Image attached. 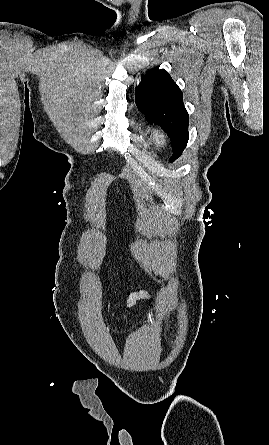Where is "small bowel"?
<instances>
[{
    "label": "small bowel",
    "mask_w": 269,
    "mask_h": 445,
    "mask_svg": "<svg viewBox=\"0 0 269 445\" xmlns=\"http://www.w3.org/2000/svg\"><path fill=\"white\" fill-rule=\"evenodd\" d=\"M152 295L146 290L134 291L127 296L123 297L124 305L127 308H133L137 302L141 300H150Z\"/></svg>",
    "instance_id": "c3829d8e"
}]
</instances>
